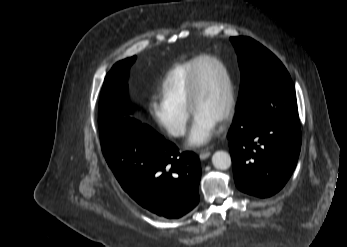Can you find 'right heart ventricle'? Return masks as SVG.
<instances>
[{
  "instance_id": "e07e8e85",
  "label": "right heart ventricle",
  "mask_w": 347,
  "mask_h": 247,
  "mask_svg": "<svg viewBox=\"0 0 347 247\" xmlns=\"http://www.w3.org/2000/svg\"><path fill=\"white\" fill-rule=\"evenodd\" d=\"M200 57L176 64L166 74L160 88L163 100L188 108V85L193 66Z\"/></svg>"
}]
</instances>
